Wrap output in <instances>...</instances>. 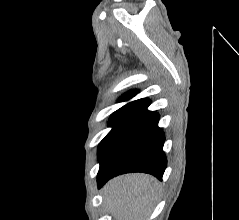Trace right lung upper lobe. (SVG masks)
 Here are the masks:
<instances>
[{"label":"right lung upper lobe","mask_w":239,"mask_h":220,"mask_svg":"<svg viewBox=\"0 0 239 220\" xmlns=\"http://www.w3.org/2000/svg\"><path fill=\"white\" fill-rule=\"evenodd\" d=\"M136 91H130L128 93H126L125 95H123L121 98H120V102L121 101H128L129 99H131L133 96L136 95ZM142 99H138V100H135V101H132L128 104H126L125 106H123L122 108H132L134 105H136L138 102H140Z\"/></svg>","instance_id":"right-lung-upper-lobe-1"}]
</instances>
